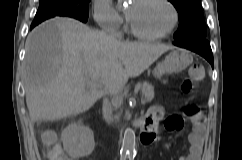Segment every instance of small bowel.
Returning a JSON list of instances; mask_svg holds the SVG:
<instances>
[{
    "label": "small bowel",
    "instance_id": "obj_1",
    "mask_svg": "<svg viewBox=\"0 0 242 160\" xmlns=\"http://www.w3.org/2000/svg\"><path fill=\"white\" fill-rule=\"evenodd\" d=\"M145 125L142 128L140 140L143 144H152L160 140L159 133L156 131L157 115L156 113L143 117ZM183 119L177 115L168 117L164 122V127L168 131H180L183 128ZM204 124L203 121L196 119L194 129L189 134L190 149L189 154L182 155L179 160H201L203 142H204ZM65 160H72L65 157Z\"/></svg>",
    "mask_w": 242,
    "mask_h": 160
}]
</instances>
